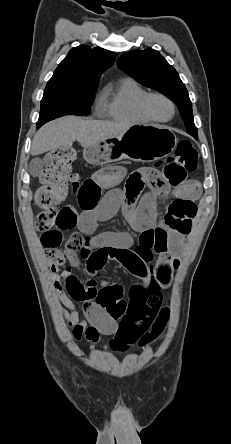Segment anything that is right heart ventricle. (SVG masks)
<instances>
[{
    "label": "right heart ventricle",
    "mask_w": 231,
    "mask_h": 444,
    "mask_svg": "<svg viewBox=\"0 0 231 444\" xmlns=\"http://www.w3.org/2000/svg\"><path fill=\"white\" fill-rule=\"evenodd\" d=\"M147 91L135 80H122L116 90L108 93L104 99V110L101 112L106 118L126 124H145L150 122L139 110V103Z\"/></svg>",
    "instance_id": "e07e8e85"
}]
</instances>
